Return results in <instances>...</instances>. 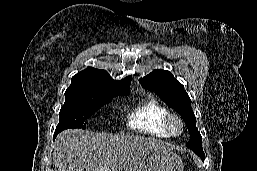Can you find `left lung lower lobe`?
<instances>
[{
    "instance_id": "1",
    "label": "left lung lower lobe",
    "mask_w": 257,
    "mask_h": 171,
    "mask_svg": "<svg viewBox=\"0 0 257 171\" xmlns=\"http://www.w3.org/2000/svg\"><path fill=\"white\" fill-rule=\"evenodd\" d=\"M194 152V151H193ZM195 154H197L202 160L205 159V154L203 151H197V152H194Z\"/></svg>"
}]
</instances>
